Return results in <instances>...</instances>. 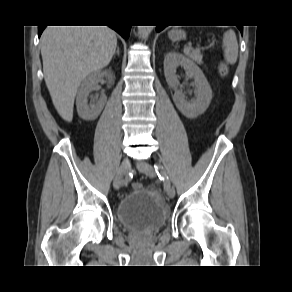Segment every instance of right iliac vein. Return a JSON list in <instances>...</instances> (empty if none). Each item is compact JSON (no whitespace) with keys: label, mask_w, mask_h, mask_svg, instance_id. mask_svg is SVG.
Returning a JSON list of instances; mask_svg holds the SVG:
<instances>
[{"label":"right iliac vein","mask_w":292,"mask_h":292,"mask_svg":"<svg viewBox=\"0 0 292 292\" xmlns=\"http://www.w3.org/2000/svg\"><path fill=\"white\" fill-rule=\"evenodd\" d=\"M130 161L129 159L125 158L119 169L118 172L115 176L114 182H113V186L115 189H119L125 182H124V176H126L130 170Z\"/></svg>","instance_id":"right-iliac-vein-1"}]
</instances>
